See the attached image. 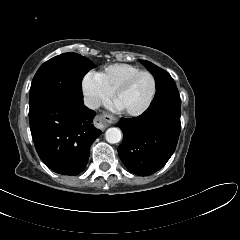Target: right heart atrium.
<instances>
[{
    "instance_id": "d8ad5b80",
    "label": "right heart atrium",
    "mask_w": 240,
    "mask_h": 240,
    "mask_svg": "<svg viewBox=\"0 0 240 240\" xmlns=\"http://www.w3.org/2000/svg\"><path fill=\"white\" fill-rule=\"evenodd\" d=\"M82 90L87 103L93 108L108 102L113 96V92L103 84L99 76L92 73L83 77Z\"/></svg>"
}]
</instances>
